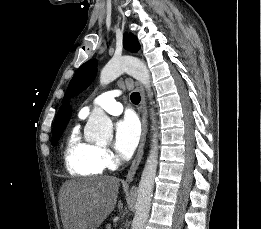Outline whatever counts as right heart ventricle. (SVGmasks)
<instances>
[{
	"label": "right heart ventricle",
	"instance_id": "right-heart-ventricle-1",
	"mask_svg": "<svg viewBox=\"0 0 261 229\" xmlns=\"http://www.w3.org/2000/svg\"><path fill=\"white\" fill-rule=\"evenodd\" d=\"M84 111H80L83 114ZM102 147L84 138L74 128L64 144V162L67 170L74 175H97L102 173L100 161Z\"/></svg>",
	"mask_w": 261,
	"mask_h": 229
}]
</instances>
